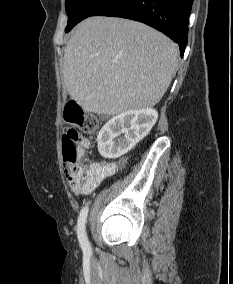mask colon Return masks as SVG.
Returning <instances> with one entry per match:
<instances>
[{
  "label": "colon",
  "mask_w": 233,
  "mask_h": 284,
  "mask_svg": "<svg viewBox=\"0 0 233 284\" xmlns=\"http://www.w3.org/2000/svg\"><path fill=\"white\" fill-rule=\"evenodd\" d=\"M65 118L75 128L69 129L62 138L63 158L66 162V178L71 189L76 193H87L93 189V182L79 163L82 152L88 146V140L82 132L92 134L97 131V118L87 112L76 100L69 101L65 106Z\"/></svg>",
  "instance_id": "obj_1"
}]
</instances>
